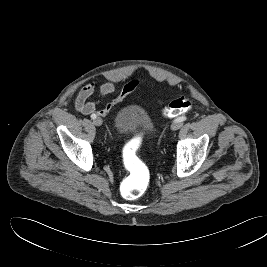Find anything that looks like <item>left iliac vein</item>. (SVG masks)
<instances>
[{"label":"left iliac vein","instance_id":"left-iliac-vein-1","mask_svg":"<svg viewBox=\"0 0 267 267\" xmlns=\"http://www.w3.org/2000/svg\"><path fill=\"white\" fill-rule=\"evenodd\" d=\"M182 125H183L182 122H180V121H174V122L172 123V125H171V129H172L173 131H176V130L180 129V128L182 127Z\"/></svg>","mask_w":267,"mask_h":267}]
</instances>
